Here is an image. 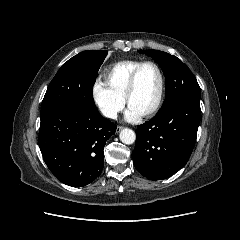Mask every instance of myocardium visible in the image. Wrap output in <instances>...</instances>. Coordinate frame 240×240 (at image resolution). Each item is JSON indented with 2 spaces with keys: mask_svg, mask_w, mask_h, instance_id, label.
Instances as JSON below:
<instances>
[{
  "mask_svg": "<svg viewBox=\"0 0 240 240\" xmlns=\"http://www.w3.org/2000/svg\"><path fill=\"white\" fill-rule=\"evenodd\" d=\"M148 65L154 67L158 73L159 90H158V94H157L154 104L151 106V108L149 110H147L145 113L141 114L143 117H149V116L153 115L159 109V107L162 103L163 96H164V90H165V77H164L163 71L160 68V66L156 62H153V61L141 62L131 73V75L129 77L128 85H127V90L125 93V100H126V103L129 105L130 97L136 88V81H137L138 74L143 67L148 66Z\"/></svg>",
  "mask_w": 240,
  "mask_h": 240,
  "instance_id": "1",
  "label": "myocardium"
}]
</instances>
